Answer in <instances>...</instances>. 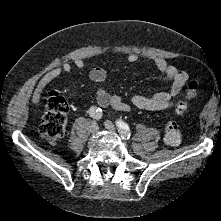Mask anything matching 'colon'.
<instances>
[{
  "label": "colon",
  "instance_id": "5ec220e1",
  "mask_svg": "<svg viewBox=\"0 0 221 221\" xmlns=\"http://www.w3.org/2000/svg\"><path fill=\"white\" fill-rule=\"evenodd\" d=\"M199 89V82L192 80L186 87L185 100L176 106V113L181 115L187 108V101L193 98ZM68 104L58 92H51L43 110L39 135L47 143L54 145L63 138L67 123ZM182 139V131L176 121H169L164 129V140L170 146H177Z\"/></svg>",
  "mask_w": 221,
  "mask_h": 221
}]
</instances>
